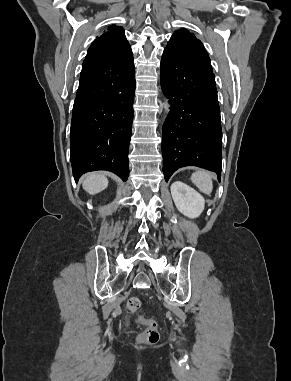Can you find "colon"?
Returning a JSON list of instances; mask_svg holds the SVG:
<instances>
[{"label":"colon","mask_w":291,"mask_h":381,"mask_svg":"<svg viewBox=\"0 0 291 381\" xmlns=\"http://www.w3.org/2000/svg\"><path fill=\"white\" fill-rule=\"evenodd\" d=\"M141 305L138 297H131L127 301V308L130 312H136ZM137 323L144 326L139 335V339L147 344H155L159 339L158 325L154 319L139 317Z\"/></svg>","instance_id":"1"}]
</instances>
